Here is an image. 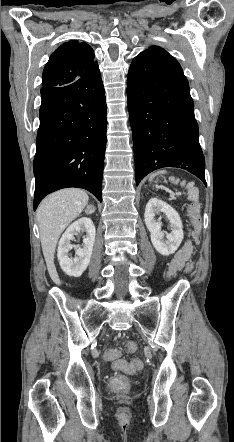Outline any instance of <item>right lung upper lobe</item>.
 <instances>
[{
    "instance_id": "obj_1",
    "label": "right lung upper lobe",
    "mask_w": 234,
    "mask_h": 442,
    "mask_svg": "<svg viewBox=\"0 0 234 442\" xmlns=\"http://www.w3.org/2000/svg\"><path fill=\"white\" fill-rule=\"evenodd\" d=\"M98 66L94 52L86 43L70 41L62 44L49 58L43 75V87L64 86L75 82Z\"/></svg>"
}]
</instances>
